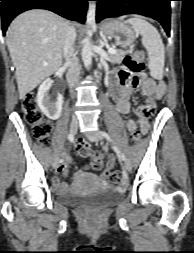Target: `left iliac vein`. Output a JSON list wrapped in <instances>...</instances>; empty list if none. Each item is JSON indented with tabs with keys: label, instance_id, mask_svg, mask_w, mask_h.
Masks as SVG:
<instances>
[{
	"label": "left iliac vein",
	"instance_id": "left-iliac-vein-1",
	"mask_svg": "<svg viewBox=\"0 0 194 253\" xmlns=\"http://www.w3.org/2000/svg\"><path fill=\"white\" fill-rule=\"evenodd\" d=\"M91 140L95 141V142L100 141V140H102V135L100 134V132H95L91 136ZM123 167L126 171H131V169H132L131 163L128 160H125Z\"/></svg>",
	"mask_w": 194,
	"mask_h": 253
}]
</instances>
